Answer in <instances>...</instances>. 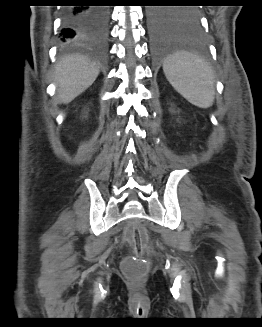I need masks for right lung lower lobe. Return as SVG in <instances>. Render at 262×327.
Here are the masks:
<instances>
[{"mask_svg":"<svg viewBox=\"0 0 262 327\" xmlns=\"http://www.w3.org/2000/svg\"><path fill=\"white\" fill-rule=\"evenodd\" d=\"M86 0H80L85 3ZM61 40L65 45L86 44L102 48L109 35L108 11L101 7L70 6L63 12Z\"/></svg>","mask_w":262,"mask_h":327,"instance_id":"obj_1","label":"right lung lower lobe"}]
</instances>
